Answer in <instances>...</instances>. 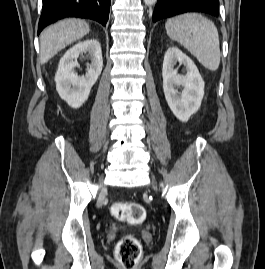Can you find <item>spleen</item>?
Listing matches in <instances>:
<instances>
[{"label": "spleen", "mask_w": 265, "mask_h": 269, "mask_svg": "<svg viewBox=\"0 0 265 269\" xmlns=\"http://www.w3.org/2000/svg\"><path fill=\"white\" fill-rule=\"evenodd\" d=\"M167 35L183 45L208 70L220 64L218 30L214 23L199 13H184L168 19Z\"/></svg>", "instance_id": "1"}]
</instances>
